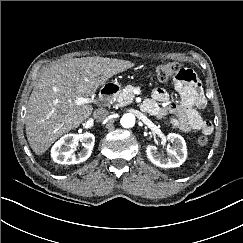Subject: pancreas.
I'll return each instance as SVG.
<instances>
[{"instance_id":"pancreas-1","label":"pancreas","mask_w":243,"mask_h":243,"mask_svg":"<svg viewBox=\"0 0 243 243\" xmlns=\"http://www.w3.org/2000/svg\"><path fill=\"white\" fill-rule=\"evenodd\" d=\"M133 90H134L133 86L127 85L116 96H114L113 100L116 101L117 106L122 107L132 103L135 97Z\"/></svg>"}]
</instances>
